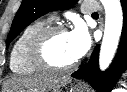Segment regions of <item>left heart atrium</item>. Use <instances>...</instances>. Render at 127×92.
Wrapping results in <instances>:
<instances>
[{"instance_id": "1", "label": "left heart atrium", "mask_w": 127, "mask_h": 92, "mask_svg": "<svg viewBox=\"0 0 127 92\" xmlns=\"http://www.w3.org/2000/svg\"><path fill=\"white\" fill-rule=\"evenodd\" d=\"M69 43L74 57L80 59L90 48L91 39L87 28L83 24H76L68 33Z\"/></svg>"}]
</instances>
